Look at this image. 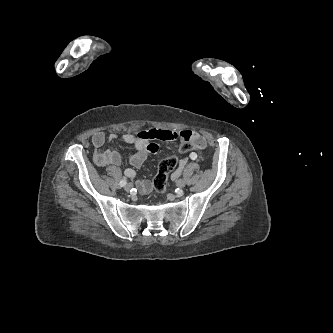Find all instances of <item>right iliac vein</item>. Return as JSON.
Segmentation results:
<instances>
[{
    "mask_svg": "<svg viewBox=\"0 0 333 333\" xmlns=\"http://www.w3.org/2000/svg\"><path fill=\"white\" fill-rule=\"evenodd\" d=\"M131 188H132V184L131 183L126 184L125 187H124V189L126 191H130Z\"/></svg>",
    "mask_w": 333,
    "mask_h": 333,
    "instance_id": "right-iliac-vein-1",
    "label": "right iliac vein"
}]
</instances>
